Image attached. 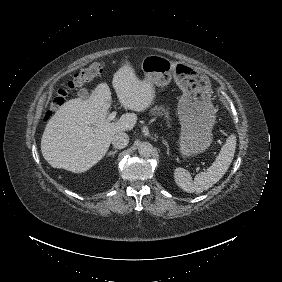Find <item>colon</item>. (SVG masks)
Wrapping results in <instances>:
<instances>
[{
    "instance_id": "5ec220e1",
    "label": "colon",
    "mask_w": 282,
    "mask_h": 282,
    "mask_svg": "<svg viewBox=\"0 0 282 282\" xmlns=\"http://www.w3.org/2000/svg\"><path fill=\"white\" fill-rule=\"evenodd\" d=\"M107 64L104 60H95L86 68L79 71L74 75L73 80L69 83V88L79 87L85 83L93 81L95 78L99 77L105 70ZM68 93V89H59L50 99L46 112L44 113V120L48 121L53 111L56 110L65 100Z\"/></svg>"
}]
</instances>
